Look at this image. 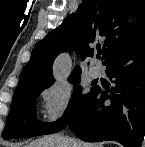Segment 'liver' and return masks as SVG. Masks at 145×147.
<instances>
[{
    "instance_id": "1",
    "label": "liver",
    "mask_w": 145,
    "mask_h": 147,
    "mask_svg": "<svg viewBox=\"0 0 145 147\" xmlns=\"http://www.w3.org/2000/svg\"><path fill=\"white\" fill-rule=\"evenodd\" d=\"M26 147H102L100 144H88L79 139L60 135H47L32 141Z\"/></svg>"
}]
</instances>
